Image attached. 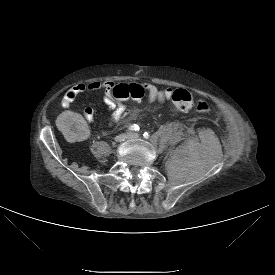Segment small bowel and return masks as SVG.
I'll list each match as a JSON object with an SVG mask.
<instances>
[{
  "mask_svg": "<svg viewBox=\"0 0 275 275\" xmlns=\"http://www.w3.org/2000/svg\"><path fill=\"white\" fill-rule=\"evenodd\" d=\"M126 85V84H122ZM148 95V101L150 103H164L168 101L172 96V89L170 88H158L153 84H142ZM116 84L112 81H93L90 83H79L69 88L62 99L64 106H69L72 102L81 94L89 91L102 90L103 91V103L105 107L111 112L108 119V127H113L117 122L126 118L129 114L125 104L121 99L114 96L113 91ZM95 116L94 108L88 106L83 111V117L73 111H65L58 117L59 131L67 142L74 144H81L84 139L89 135V130L86 124L91 122Z\"/></svg>",
  "mask_w": 275,
  "mask_h": 275,
  "instance_id": "obj_1",
  "label": "small bowel"
}]
</instances>
